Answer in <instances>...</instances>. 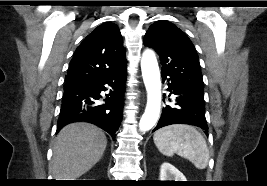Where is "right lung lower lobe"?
I'll return each mask as SVG.
<instances>
[{"mask_svg": "<svg viewBox=\"0 0 267 186\" xmlns=\"http://www.w3.org/2000/svg\"><path fill=\"white\" fill-rule=\"evenodd\" d=\"M125 82L126 65L104 75L65 83L57 132L69 123L84 121L113 137L122 120ZM105 85L111 89L103 99L100 93L107 90Z\"/></svg>", "mask_w": 267, "mask_h": 186, "instance_id": "1", "label": "right lung lower lobe"}]
</instances>
